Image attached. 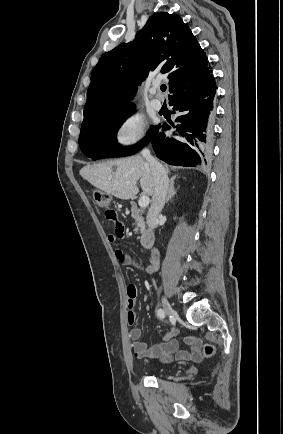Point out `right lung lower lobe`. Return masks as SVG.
<instances>
[{
  "label": "right lung lower lobe",
  "mask_w": 283,
  "mask_h": 434,
  "mask_svg": "<svg viewBox=\"0 0 283 434\" xmlns=\"http://www.w3.org/2000/svg\"><path fill=\"white\" fill-rule=\"evenodd\" d=\"M217 86L215 79L197 90L173 96L169 100L177 113L172 135L158 134L150 140L156 156L171 165L197 166L206 161L212 142L213 100ZM160 127V125L158 126ZM163 129H170L166 123ZM149 141V142H150Z\"/></svg>",
  "instance_id": "98d812e1"
}]
</instances>
